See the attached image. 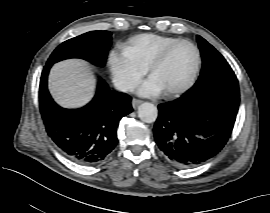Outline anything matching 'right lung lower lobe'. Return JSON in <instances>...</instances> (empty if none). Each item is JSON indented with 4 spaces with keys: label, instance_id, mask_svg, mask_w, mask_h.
<instances>
[{
    "label": "right lung lower lobe",
    "instance_id": "right-lung-lower-lobe-1",
    "mask_svg": "<svg viewBox=\"0 0 270 213\" xmlns=\"http://www.w3.org/2000/svg\"><path fill=\"white\" fill-rule=\"evenodd\" d=\"M51 64L43 69L39 103L47 134L70 159L84 165L101 162L116 146L120 119L132 112L131 97L98 84L93 100L80 109L58 106L47 89Z\"/></svg>",
    "mask_w": 270,
    "mask_h": 213
}]
</instances>
